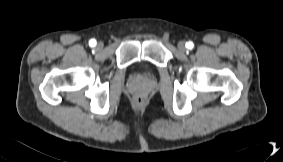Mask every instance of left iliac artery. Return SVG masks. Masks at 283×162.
Returning a JSON list of instances; mask_svg holds the SVG:
<instances>
[{"mask_svg":"<svg viewBox=\"0 0 283 162\" xmlns=\"http://www.w3.org/2000/svg\"><path fill=\"white\" fill-rule=\"evenodd\" d=\"M186 47L188 49H192L194 47V44L191 41H189V42L186 43Z\"/></svg>","mask_w":283,"mask_h":162,"instance_id":"left-iliac-artery-1","label":"left iliac artery"}]
</instances>
